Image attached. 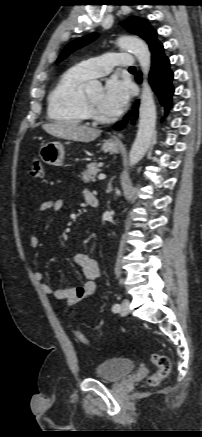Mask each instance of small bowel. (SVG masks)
I'll list each match as a JSON object with an SVG mask.
<instances>
[{"mask_svg":"<svg viewBox=\"0 0 202 437\" xmlns=\"http://www.w3.org/2000/svg\"><path fill=\"white\" fill-rule=\"evenodd\" d=\"M90 192L85 193V197L90 195ZM64 203L62 200H50L43 202L39 207V213L44 214L51 210L58 212L62 210ZM30 246L37 248L39 246V238L36 234H33L30 238ZM75 264L80 267L85 282L79 286L65 287V288H53L49 283L43 282L44 274L40 270L34 272L36 280L41 282L42 290L47 294H52L58 300H65L67 308H70L80 302L83 299L91 296L95 291V280L100 275V267L97 260L90 257L85 253H77L74 255Z\"/></svg>","mask_w":202,"mask_h":437,"instance_id":"1","label":"small bowel"}]
</instances>
